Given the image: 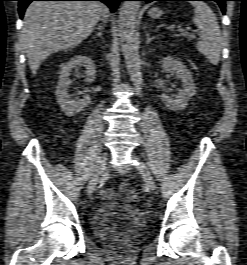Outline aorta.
Instances as JSON below:
<instances>
[{"label":"aorta","mask_w":247,"mask_h":265,"mask_svg":"<svg viewBox=\"0 0 247 265\" xmlns=\"http://www.w3.org/2000/svg\"><path fill=\"white\" fill-rule=\"evenodd\" d=\"M140 8L139 1L123 2L118 20L119 37L126 67L137 90H141L144 81L140 70V57L136 37V17Z\"/></svg>","instance_id":"aorta-1"}]
</instances>
